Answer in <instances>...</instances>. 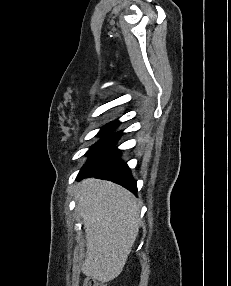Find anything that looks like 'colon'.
<instances>
[{"label": "colon", "mask_w": 231, "mask_h": 286, "mask_svg": "<svg viewBox=\"0 0 231 286\" xmlns=\"http://www.w3.org/2000/svg\"><path fill=\"white\" fill-rule=\"evenodd\" d=\"M83 286H107L106 284L96 281L91 278H86L83 282Z\"/></svg>", "instance_id": "1"}]
</instances>
